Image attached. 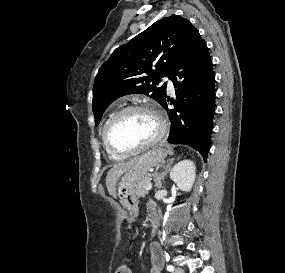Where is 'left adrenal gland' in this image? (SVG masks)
Instances as JSON below:
<instances>
[{
  "mask_svg": "<svg viewBox=\"0 0 285 273\" xmlns=\"http://www.w3.org/2000/svg\"><path fill=\"white\" fill-rule=\"evenodd\" d=\"M165 168V171H163L162 173H155V186L158 188V189H161L162 187V182L161 180L164 179V176H166L167 172H168V165L164 167Z\"/></svg>",
  "mask_w": 285,
  "mask_h": 273,
  "instance_id": "left-adrenal-gland-1",
  "label": "left adrenal gland"
}]
</instances>
